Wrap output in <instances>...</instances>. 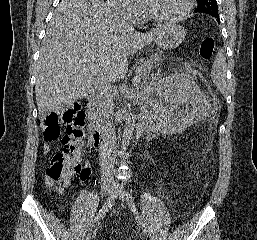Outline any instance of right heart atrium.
<instances>
[{"label": "right heart atrium", "mask_w": 257, "mask_h": 240, "mask_svg": "<svg viewBox=\"0 0 257 240\" xmlns=\"http://www.w3.org/2000/svg\"><path fill=\"white\" fill-rule=\"evenodd\" d=\"M109 2L119 15L132 23H139L145 15V9L140 0H109Z\"/></svg>", "instance_id": "right-heart-atrium-1"}]
</instances>
